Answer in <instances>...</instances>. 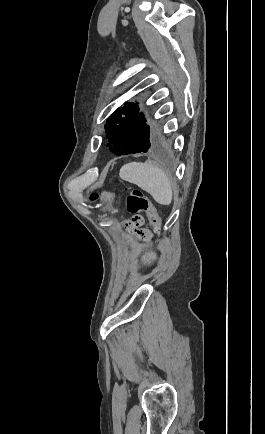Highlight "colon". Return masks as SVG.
<instances>
[{
  "label": "colon",
  "instance_id": "obj_1",
  "mask_svg": "<svg viewBox=\"0 0 265 434\" xmlns=\"http://www.w3.org/2000/svg\"><path fill=\"white\" fill-rule=\"evenodd\" d=\"M96 199V194L91 195V201H95ZM125 206L131 213L143 212L150 225L153 227L154 233H160L162 224L161 215L152 203L151 199L144 192L140 190H131L125 199Z\"/></svg>",
  "mask_w": 265,
  "mask_h": 434
}]
</instances>
